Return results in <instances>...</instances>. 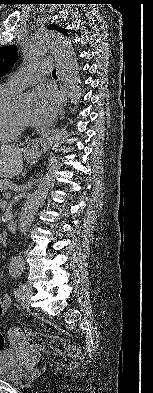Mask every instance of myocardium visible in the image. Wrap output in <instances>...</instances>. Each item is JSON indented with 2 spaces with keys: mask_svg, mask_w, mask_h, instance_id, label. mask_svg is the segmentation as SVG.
Listing matches in <instances>:
<instances>
[{
  "mask_svg": "<svg viewBox=\"0 0 153 393\" xmlns=\"http://www.w3.org/2000/svg\"><path fill=\"white\" fill-rule=\"evenodd\" d=\"M13 119H14L15 125H16L20 130H24V129H26V128L28 127V123L25 122V121H23V120H21V119H20L18 116H16L14 113H13Z\"/></svg>",
  "mask_w": 153,
  "mask_h": 393,
  "instance_id": "1",
  "label": "myocardium"
}]
</instances>
